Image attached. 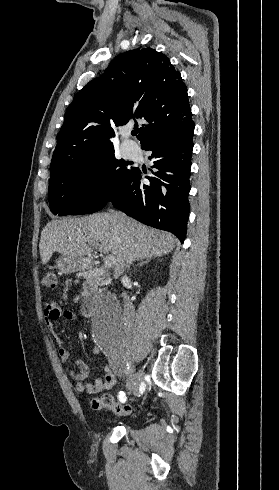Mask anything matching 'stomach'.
I'll use <instances>...</instances> for the list:
<instances>
[{
	"label": "stomach",
	"mask_w": 279,
	"mask_h": 490,
	"mask_svg": "<svg viewBox=\"0 0 279 490\" xmlns=\"http://www.w3.org/2000/svg\"><path fill=\"white\" fill-rule=\"evenodd\" d=\"M55 262L57 270L62 272V274L79 272L84 264V260H74V258H67V256H60Z\"/></svg>",
	"instance_id": "1"
}]
</instances>
